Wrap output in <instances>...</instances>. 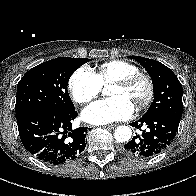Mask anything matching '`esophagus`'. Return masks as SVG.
Segmentation results:
<instances>
[{
	"label": "esophagus",
	"mask_w": 196,
	"mask_h": 196,
	"mask_svg": "<svg viewBox=\"0 0 196 196\" xmlns=\"http://www.w3.org/2000/svg\"><path fill=\"white\" fill-rule=\"evenodd\" d=\"M114 126H116L115 124H111V125H105L103 126L104 128H114Z\"/></svg>",
	"instance_id": "obj_1"
}]
</instances>
